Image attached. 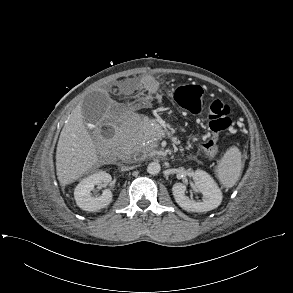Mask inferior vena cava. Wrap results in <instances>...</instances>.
Listing matches in <instances>:
<instances>
[{
	"mask_svg": "<svg viewBox=\"0 0 293 293\" xmlns=\"http://www.w3.org/2000/svg\"><path fill=\"white\" fill-rule=\"evenodd\" d=\"M129 169H131V167L123 166V167L121 168L122 171H127V170H129Z\"/></svg>",
	"mask_w": 293,
	"mask_h": 293,
	"instance_id": "inferior-vena-cava-1",
	"label": "inferior vena cava"
}]
</instances>
